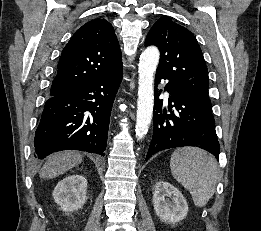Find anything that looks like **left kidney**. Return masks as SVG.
Returning a JSON list of instances; mask_svg holds the SVG:
<instances>
[{
	"instance_id": "1",
	"label": "left kidney",
	"mask_w": 261,
	"mask_h": 231,
	"mask_svg": "<svg viewBox=\"0 0 261 231\" xmlns=\"http://www.w3.org/2000/svg\"><path fill=\"white\" fill-rule=\"evenodd\" d=\"M153 206L160 220L169 224L181 221L188 213V205L182 193L165 181L155 186Z\"/></svg>"
}]
</instances>
